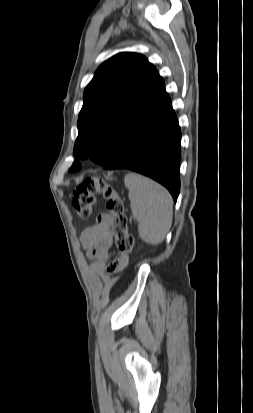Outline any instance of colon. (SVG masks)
Returning a JSON list of instances; mask_svg holds the SVG:
<instances>
[{"label":"colon","instance_id":"obj_1","mask_svg":"<svg viewBox=\"0 0 253 413\" xmlns=\"http://www.w3.org/2000/svg\"><path fill=\"white\" fill-rule=\"evenodd\" d=\"M95 194L106 200V208L112 218V234L120 259H128L133 249V237L127 229L124 202L118 191L99 177H86L75 188L72 205L81 219L89 218L95 206Z\"/></svg>","mask_w":253,"mask_h":413}]
</instances>
